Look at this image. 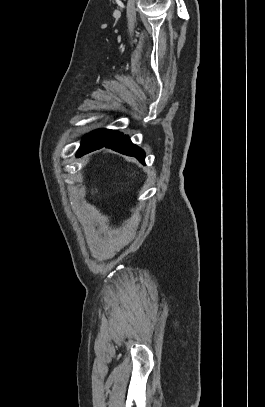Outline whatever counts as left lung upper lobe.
<instances>
[{"label":"left lung upper lobe","mask_w":265,"mask_h":407,"mask_svg":"<svg viewBox=\"0 0 265 407\" xmlns=\"http://www.w3.org/2000/svg\"><path fill=\"white\" fill-rule=\"evenodd\" d=\"M120 134H121L120 132L114 130L108 129L96 130L83 138L78 152H82L98 144L106 143Z\"/></svg>","instance_id":"1"}]
</instances>
